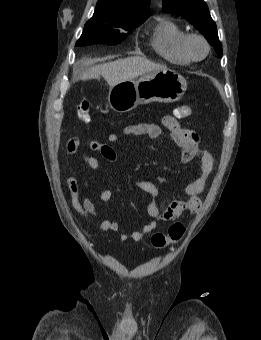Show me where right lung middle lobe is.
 Masks as SVG:
<instances>
[{"label":"right lung middle lobe","mask_w":261,"mask_h":340,"mask_svg":"<svg viewBox=\"0 0 261 340\" xmlns=\"http://www.w3.org/2000/svg\"><path fill=\"white\" fill-rule=\"evenodd\" d=\"M146 19H112L99 14L86 22L83 33L76 46H85L95 43L115 45L126 38L131 30L142 24ZM126 30L128 33L120 32Z\"/></svg>","instance_id":"right-lung-middle-lobe-1"}]
</instances>
